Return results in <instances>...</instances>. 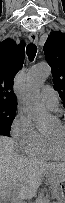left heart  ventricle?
Listing matches in <instances>:
<instances>
[{
	"instance_id": "1",
	"label": "left heart ventricle",
	"mask_w": 65,
	"mask_h": 203,
	"mask_svg": "<svg viewBox=\"0 0 65 203\" xmlns=\"http://www.w3.org/2000/svg\"><path fill=\"white\" fill-rule=\"evenodd\" d=\"M62 128L61 125H57L53 130L49 131L47 133V136L52 137V138H59L61 140L62 138Z\"/></svg>"
}]
</instances>
